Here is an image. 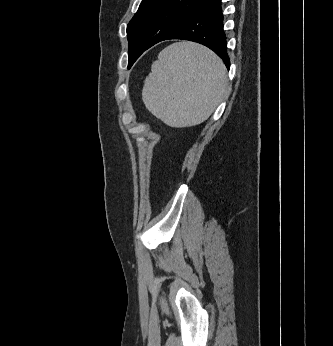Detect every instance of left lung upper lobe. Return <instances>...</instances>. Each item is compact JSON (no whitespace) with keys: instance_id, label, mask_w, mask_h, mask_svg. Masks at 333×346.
I'll return each instance as SVG.
<instances>
[{"instance_id":"5c2ea615","label":"left lung upper lobe","mask_w":333,"mask_h":346,"mask_svg":"<svg viewBox=\"0 0 333 346\" xmlns=\"http://www.w3.org/2000/svg\"><path fill=\"white\" fill-rule=\"evenodd\" d=\"M206 2L207 0H143L127 25L128 67Z\"/></svg>"}]
</instances>
